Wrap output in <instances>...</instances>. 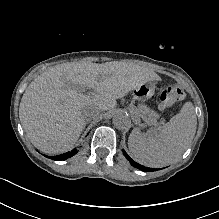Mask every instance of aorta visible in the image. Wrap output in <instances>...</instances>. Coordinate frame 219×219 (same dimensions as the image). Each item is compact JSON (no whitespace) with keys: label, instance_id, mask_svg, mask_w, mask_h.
Listing matches in <instances>:
<instances>
[{"label":"aorta","instance_id":"762f6f07","mask_svg":"<svg viewBox=\"0 0 219 219\" xmlns=\"http://www.w3.org/2000/svg\"><path fill=\"white\" fill-rule=\"evenodd\" d=\"M112 120L114 126L119 130H126L131 125L128 115L122 110L114 112Z\"/></svg>","mask_w":219,"mask_h":219}]
</instances>
